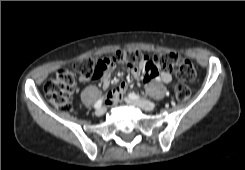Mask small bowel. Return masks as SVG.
I'll use <instances>...</instances> for the list:
<instances>
[{"label":"small bowel","instance_id":"c3829d8e","mask_svg":"<svg viewBox=\"0 0 245 170\" xmlns=\"http://www.w3.org/2000/svg\"><path fill=\"white\" fill-rule=\"evenodd\" d=\"M122 74V73H121ZM152 76L150 74H146L144 76L143 79V83L146 84L151 80ZM102 80H103V84L104 86H108L111 82V77L109 73H104L102 76ZM160 80L165 83L168 84L171 81V74L169 72V70L164 69L161 71L160 73ZM128 88V83L127 82H123L121 85V90L125 91Z\"/></svg>","mask_w":245,"mask_h":170}]
</instances>
